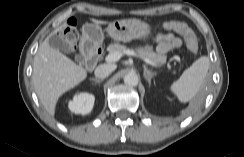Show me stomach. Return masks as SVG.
Wrapping results in <instances>:
<instances>
[{"label": "stomach", "mask_w": 244, "mask_h": 157, "mask_svg": "<svg viewBox=\"0 0 244 157\" xmlns=\"http://www.w3.org/2000/svg\"><path fill=\"white\" fill-rule=\"evenodd\" d=\"M107 32L116 41H131L133 39H146L151 35V26L139 19H122L111 22ZM104 34L101 27L96 24H85L82 27L81 44L83 46L97 47L102 44Z\"/></svg>", "instance_id": "stomach-1"}]
</instances>
